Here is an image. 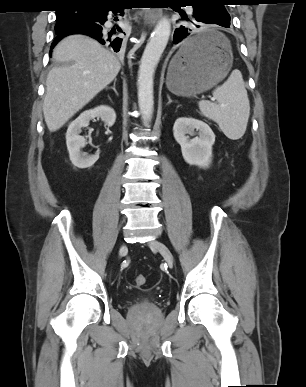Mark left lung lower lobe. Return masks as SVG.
<instances>
[{
	"label": "left lung lower lobe",
	"mask_w": 306,
	"mask_h": 387,
	"mask_svg": "<svg viewBox=\"0 0 306 387\" xmlns=\"http://www.w3.org/2000/svg\"><path fill=\"white\" fill-rule=\"evenodd\" d=\"M186 6L193 7L192 17H187L185 12H180L183 21L189 23L191 26H196L197 28L200 25H197V22L206 23V24H215L225 28H229L230 21H225L216 17L215 13L212 10V7L207 3H183ZM180 8V7H178ZM192 29L187 25H181L175 29L173 42L175 44L182 42L181 53L182 57L186 60L194 59L203 53L209 51L213 45V37L211 35H204L198 39L190 38Z\"/></svg>",
	"instance_id": "0a47b994"
}]
</instances>
